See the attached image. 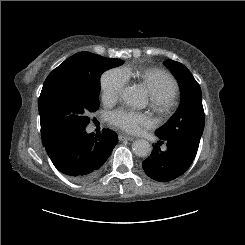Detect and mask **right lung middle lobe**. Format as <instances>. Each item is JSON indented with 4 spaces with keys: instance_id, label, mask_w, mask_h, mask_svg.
<instances>
[{
    "instance_id": "right-lung-middle-lobe-1",
    "label": "right lung middle lobe",
    "mask_w": 245,
    "mask_h": 245,
    "mask_svg": "<svg viewBox=\"0 0 245 245\" xmlns=\"http://www.w3.org/2000/svg\"><path fill=\"white\" fill-rule=\"evenodd\" d=\"M79 71L46 79L39 98L42 139H53L72 130L85 128L89 115L99 107L100 76L103 71L123 64L120 59L82 52Z\"/></svg>"
}]
</instances>
